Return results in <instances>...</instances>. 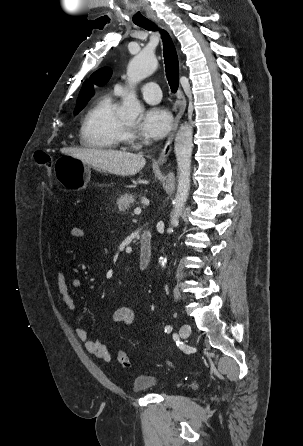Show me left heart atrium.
<instances>
[{
    "label": "left heart atrium",
    "mask_w": 303,
    "mask_h": 446,
    "mask_svg": "<svg viewBox=\"0 0 303 446\" xmlns=\"http://www.w3.org/2000/svg\"><path fill=\"white\" fill-rule=\"evenodd\" d=\"M171 124L172 117L168 110L153 107L145 111L138 129L145 138L161 139L169 132Z\"/></svg>",
    "instance_id": "39dd6f15"
}]
</instances>
